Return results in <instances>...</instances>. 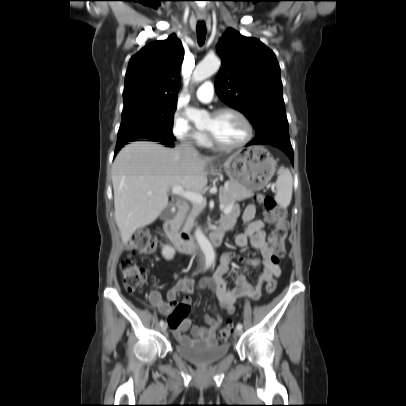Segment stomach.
I'll return each mask as SVG.
<instances>
[{
    "label": "stomach",
    "mask_w": 406,
    "mask_h": 406,
    "mask_svg": "<svg viewBox=\"0 0 406 406\" xmlns=\"http://www.w3.org/2000/svg\"><path fill=\"white\" fill-rule=\"evenodd\" d=\"M231 183L252 192L262 190L273 177L276 161L263 146L237 151L222 164Z\"/></svg>",
    "instance_id": "obj_1"
}]
</instances>
